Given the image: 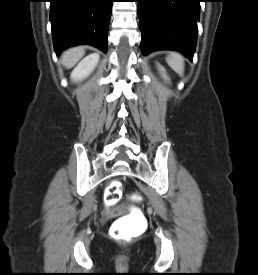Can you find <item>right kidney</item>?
Returning <instances> with one entry per match:
<instances>
[{
  "instance_id": "ca27d5eb",
  "label": "right kidney",
  "mask_w": 258,
  "mask_h": 275,
  "mask_svg": "<svg viewBox=\"0 0 258 275\" xmlns=\"http://www.w3.org/2000/svg\"><path fill=\"white\" fill-rule=\"evenodd\" d=\"M99 55L93 53L82 59L71 73L72 81H81L86 78L96 67Z\"/></svg>"
}]
</instances>
